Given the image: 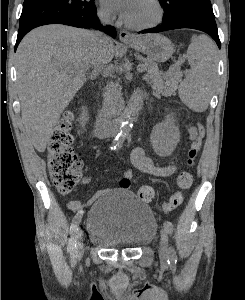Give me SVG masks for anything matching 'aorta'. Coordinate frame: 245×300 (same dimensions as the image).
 <instances>
[{
    "label": "aorta",
    "mask_w": 245,
    "mask_h": 300,
    "mask_svg": "<svg viewBox=\"0 0 245 300\" xmlns=\"http://www.w3.org/2000/svg\"><path fill=\"white\" fill-rule=\"evenodd\" d=\"M131 127H132V122L130 120H127L123 123L122 127L120 128L119 133L117 134L115 140L113 141V145L115 147H117V148L122 147Z\"/></svg>",
    "instance_id": "762f6f07"
}]
</instances>
